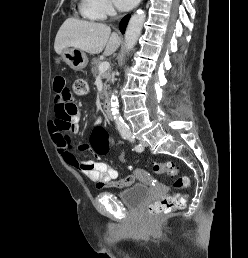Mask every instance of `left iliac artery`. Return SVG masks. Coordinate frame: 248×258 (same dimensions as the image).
Wrapping results in <instances>:
<instances>
[{
	"mask_svg": "<svg viewBox=\"0 0 248 258\" xmlns=\"http://www.w3.org/2000/svg\"><path fill=\"white\" fill-rule=\"evenodd\" d=\"M127 138H128V140H129L130 142H132V143L135 142V137H134V135L129 134ZM143 149H144V148L142 147L141 144L135 145V150H136L137 152H141V151H143Z\"/></svg>",
	"mask_w": 248,
	"mask_h": 258,
	"instance_id": "44dca946",
	"label": "left iliac artery"
}]
</instances>
